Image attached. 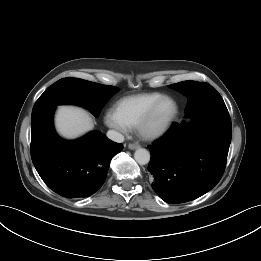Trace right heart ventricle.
<instances>
[{
    "mask_svg": "<svg viewBox=\"0 0 261 261\" xmlns=\"http://www.w3.org/2000/svg\"><path fill=\"white\" fill-rule=\"evenodd\" d=\"M162 96L163 94L157 92L126 96L115 103L114 110L132 128Z\"/></svg>",
    "mask_w": 261,
    "mask_h": 261,
    "instance_id": "e07e8e85",
    "label": "right heart ventricle"
}]
</instances>
